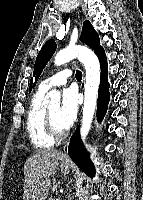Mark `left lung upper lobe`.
<instances>
[{
	"label": "left lung upper lobe",
	"mask_w": 143,
	"mask_h": 200,
	"mask_svg": "<svg viewBox=\"0 0 143 200\" xmlns=\"http://www.w3.org/2000/svg\"><path fill=\"white\" fill-rule=\"evenodd\" d=\"M80 40L83 43H86L92 49H94L95 52L99 48H101L99 36L89 21H85L83 23V29ZM55 50H56V43L54 40L47 41L41 48L34 65V69L36 72V81L39 75L41 74L43 68L52 57Z\"/></svg>",
	"instance_id": "left-lung-upper-lobe-1"
}]
</instances>
